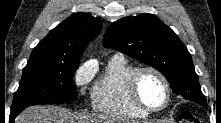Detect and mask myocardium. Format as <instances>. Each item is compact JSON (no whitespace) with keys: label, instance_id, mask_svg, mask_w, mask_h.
Here are the masks:
<instances>
[{"label":"myocardium","instance_id":"myocardium-1","mask_svg":"<svg viewBox=\"0 0 221 123\" xmlns=\"http://www.w3.org/2000/svg\"><path fill=\"white\" fill-rule=\"evenodd\" d=\"M144 73H153L163 83V85L165 87V91H166V99H165V102L162 106L157 107V108H152L143 102V100L139 94L138 87H139L140 78ZM128 92H129L130 98L133 101V103L139 109H141L142 111H144L145 113H148V114L158 113V112L165 110L168 107V105L170 104L171 97H172V90H171V86H170V83H169L167 77L159 69L152 67V66L139 67L132 73V75L130 76V78L128 80Z\"/></svg>","mask_w":221,"mask_h":123}]
</instances>
